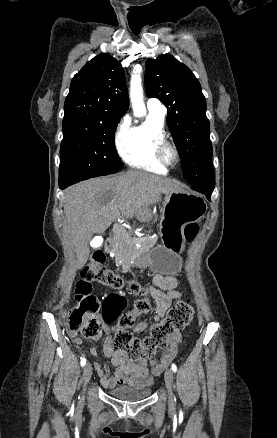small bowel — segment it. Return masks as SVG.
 <instances>
[{
    "label": "small bowel",
    "instance_id": "small-bowel-1",
    "mask_svg": "<svg viewBox=\"0 0 277 438\" xmlns=\"http://www.w3.org/2000/svg\"><path fill=\"white\" fill-rule=\"evenodd\" d=\"M176 286L177 279L174 276L158 274L153 278L149 292L155 301L154 321L161 319L171 306L172 301L180 297V293L175 289ZM147 326V321H139L133 326V332L141 333L145 331ZM116 331L117 329L114 327H104L101 334L94 338L95 340H103V352L115 367V371L112 374V370L109 369L107 364L102 366L100 374L103 386L113 388L119 384H126L139 389L151 387L156 377L163 373L175 355L177 347L181 342V335L176 333L170 338L169 347L159 356L160 360L157 363L146 359H139L133 362L128 360L123 352L115 350L112 334ZM70 338L75 345L80 346L82 344V340L77 333L71 332ZM90 353L96 356L99 350L93 347Z\"/></svg>",
    "mask_w": 277,
    "mask_h": 438
}]
</instances>
